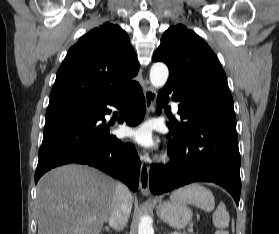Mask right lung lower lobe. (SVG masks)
Here are the masks:
<instances>
[{
	"instance_id": "obj_1",
	"label": "right lung lower lobe",
	"mask_w": 279,
	"mask_h": 234,
	"mask_svg": "<svg viewBox=\"0 0 279 234\" xmlns=\"http://www.w3.org/2000/svg\"><path fill=\"white\" fill-rule=\"evenodd\" d=\"M107 105L119 108V123L130 126L139 124L146 112L142 89L138 82H134L112 100L93 107L84 115L46 122L35 183L54 167L80 163L120 179L132 191L138 189V155L133 145L110 135V126L105 123V115L111 112Z\"/></svg>"
}]
</instances>
